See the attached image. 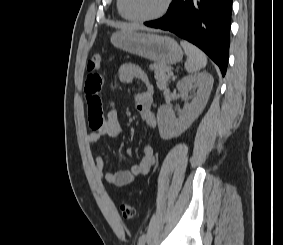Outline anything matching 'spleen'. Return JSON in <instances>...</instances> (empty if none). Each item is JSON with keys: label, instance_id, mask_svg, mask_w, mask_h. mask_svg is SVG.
I'll use <instances>...</instances> for the list:
<instances>
[{"label": "spleen", "instance_id": "obj_1", "mask_svg": "<svg viewBox=\"0 0 283 245\" xmlns=\"http://www.w3.org/2000/svg\"><path fill=\"white\" fill-rule=\"evenodd\" d=\"M180 44L187 55L185 69L188 73H195L206 66L207 57L198 47L185 40Z\"/></svg>", "mask_w": 283, "mask_h": 245}]
</instances>
